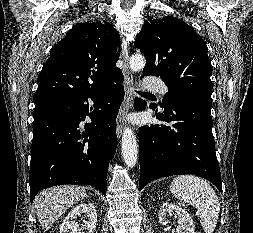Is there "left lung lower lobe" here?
<instances>
[{"label": "left lung lower lobe", "instance_id": "0a47b994", "mask_svg": "<svg viewBox=\"0 0 253 233\" xmlns=\"http://www.w3.org/2000/svg\"><path fill=\"white\" fill-rule=\"evenodd\" d=\"M143 77V76H142ZM141 77V78H142ZM212 101L191 97L170 104L156 118L168 125H147L139 129V190L166 176L196 174L211 181L221 192V175L212 134ZM136 110L147 103L136 98ZM155 110L156 105H150Z\"/></svg>", "mask_w": 253, "mask_h": 233}]
</instances>
